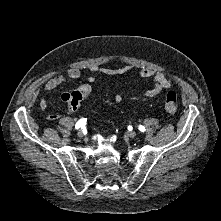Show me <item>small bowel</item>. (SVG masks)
I'll list each match as a JSON object with an SVG mask.
<instances>
[{"instance_id":"1","label":"small bowel","mask_w":221,"mask_h":221,"mask_svg":"<svg viewBox=\"0 0 221 221\" xmlns=\"http://www.w3.org/2000/svg\"><path fill=\"white\" fill-rule=\"evenodd\" d=\"M133 69L132 66L130 65H125L119 68H101L97 65H92L89 70L92 73L87 78V82L89 84H92L96 81V78L98 75H105L108 77H117V76H122L125 75L129 72H131ZM81 76V70L78 68H70L68 69L64 74L54 76L50 79H48L45 84H44V89L46 91H53L62 86L63 84L77 80ZM139 76L143 79H152L154 82V87L147 90L144 93L143 97H132V101H147L149 99L157 97L163 90L169 89L171 87V80L163 73L156 72L152 69L145 68L139 71ZM83 86H89L88 84L81 85L79 88ZM75 89L74 91L71 92H63L60 95V99L67 103L68 107L70 110H74V105L72 104V96L73 94L79 89ZM87 97V96H86ZM84 97V98H86ZM83 98V99H84ZM114 102L119 103L122 101V96L117 94L114 97ZM81 102V101H80ZM48 101L46 99H42L40 101V108L42 110H46L48 108ZM60 117L58 113H50L47 115V120L49 121H55Z\"/></svg>"}]
</instances>
